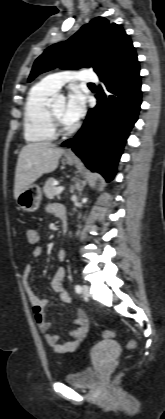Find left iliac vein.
<instances>
[{
    "label": "left iliac vein",
    "instance_id": "4c4485c4",
    "mask_svg": "<svg viewBox=\"0 0 165 419\" xmlns=\"http://www.w3.org/2000/svg\"><path fill=\"white\" fill-rule=\"evenodd\" d=\"M82 298L84 299V300H87V299H89V297H90V290H89V287L87 286V285H83L82 286Z\"/></svg>",
    "mask_w": 165,
    "mask_h": 419
}]
</instances>
